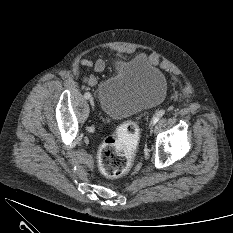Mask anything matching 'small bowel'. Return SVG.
<instances>
[{"label":"small bowel","instance_id":"small-bowel-1","mask_svg":"<svg viewBox=\"0 0 233 233\" xmlns=\"http://www.w3.org/2000/svg\"><path fill=\"white\" fill-rule=\"evenodd\" d=\"M81 64L87 67H93L96 72H102L105 69V63L103 60L98 59L94 63L89 60H82ZM84 82L89 86H94L96 83V77L93 75L84 78Z\"/></svg>","mask_w":233,"mask_h":233}]
</instances>
